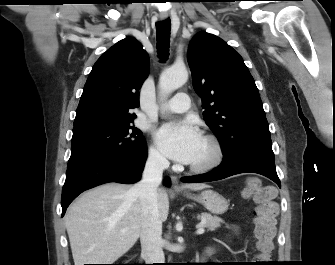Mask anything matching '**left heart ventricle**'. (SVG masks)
Returning <instances> with one entry per match:
<instances>
[{
    "label": "left heart ventricle",
    "instance_id": "1",
    "mask_svg": "<svg viewBox=\"0 0 335 265\" xmlns=\"http://www.w3.org/2000/svg\"><path fill=\"white\" fill-rule=\"evenodd\" d=\"M212 155H213L212 146L207 141L202 139L198 151L195 155V158L191 162V164L194 165L204 164L211 159Z\"/></svg>",
    "mask_w": 335,
    "mask_h": 265
}]
</instances>
